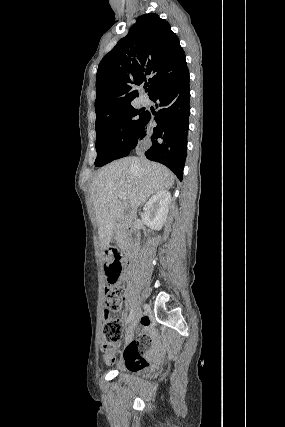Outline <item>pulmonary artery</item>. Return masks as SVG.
Returning <instances> with one entry per match:
<instances>
[{"instance_id": "1", "label": "pulmonary artery", "mask_w": 285, "mask_h": 427, "mask_svg": "<svg viewBox=\"0 0 285 427\" xmlns=\"http://www.w3.org/2000/svg\"><path fill=\"white\" fill-rule=\"evenodd\" d=\"M147 101H148V99H147V97H146V96H142V97H141V102H142L143 104H146V103H147Z\"/></svg>"}]
</instances>
